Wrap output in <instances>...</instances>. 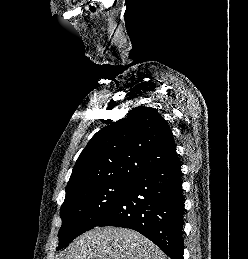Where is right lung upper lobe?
<instances>
[{
    "label": "right lung upper lobe",
    "mask_w": 248,
    "mask_h": 259,
    "mask_svg": "<svg viewBox=\"0 0 248 259\" xmlns=\"http://www.w3.org/2000/svg\"><path fill=\"white\" fill-rule=\"evenodd\" d=\"M128 114L92 137L76 161L66 192L112 180L132 182L178 159L170 127L156 109L139 106Z\"/></svg>",
    "instance_id": "1"
}]
</instances>
